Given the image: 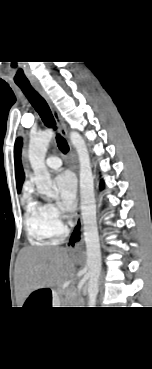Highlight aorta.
Wrapping results in <instances>:
<instances>
[{
    "instance_id": "762f6f07",
    "label": "aorta",
    "mask_w": 152,
    "mask_h": 369,
    "mask_svg": "<svg viewBox=\"0 0 152 369\" xmlns=\"http://www.w3.org/2000/svg\"><path fill=\"white\" fill-rule=\"evenodd\" d=\"M53 135V130L47 129L37 135L31 136L28 150L37 191L47 197H55L57 195L50 173L45 165V156ZM70 140L77 151L80 165V208L89 276L88 305L89 307H95L101 272V249L96 218L94 176L85 141L76 131L70 132Z\"/></svg>"
}]
</instances>
